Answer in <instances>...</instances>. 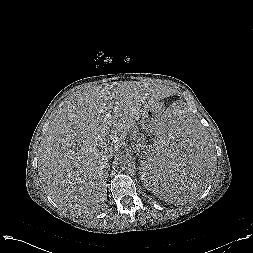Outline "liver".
Returning <instances> with one entry per match:
<instances>
[{
  "mask_svg": "<svg viewBox=\"0 0 253 253\" xmlns=\"http://www.w3.org/2000/svg\"><path fill=\"white\" fill-rule=\"evenodd\" d=\"M163 91L137 82L97 85L78 91L59 109L38 158L40 177L59 206L97 212L105 205L112 152Z\"/></svg>",
  "mask_w": 253,
  "mask_h": 253,
  "instance_id": "1",
  "label": "liver"
}]
</instances>
